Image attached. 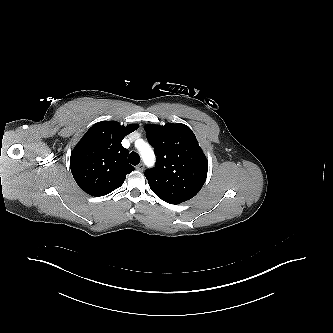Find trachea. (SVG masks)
Segmentation results:
<instances>
[{
	"label": "trachea",
	"mask_w": 333,
	"mask_h": 333,
	"mask_svg": "<svg viewBox=\"0 0 333 333\" xmlns=\"http://www.w3.org/2000/svg\"><path fill=\"white\" fill-rule=\"evenodd\" d=\"M128 159L134 166L138 165L140 162V156L136 152H131Z\"/></svg>",
	"instance_id": "3493384b"
}]
</instances>
